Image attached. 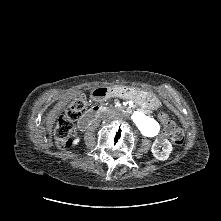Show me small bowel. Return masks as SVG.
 I'll use <instances>...</instances> for the list:
<instances>
[{"instance_id": "small-bowel-1", "label": "small bowel", "mask_w": 221, "mask_h": 221, "mask_svg": "<svg viewBox=\"0 0 221 221\" xmlns=\"http://www.w3.org/2000/svg\"><path fill=\"white\" fill-rule=\"evenodd\" d=\"M63 105H64V103L62 102V103H60L59 104V106H58V108H62L63 107ZM144 115H145V113H144Z\"/></svg>"}]
</instances>
